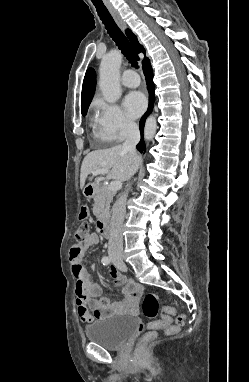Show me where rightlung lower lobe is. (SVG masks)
<instances>
[{
  "instance_id": "right-lung-lower-lobe-1",
  "label": "right lung lower lobe",
  "mask_w": 249,
  "mask_h": 382,
  "mask_svg": "<svg viewBox=\"0 0 249 382\" xmlns=\"http://www.w3.org/2000/svg\"><path fill=\"white\" fill-rule=\"evenodd\" d=\"M143 71L144 75L146 77L147 81V89L149 91V107L147 112L142 116L140 123H139V128L141 132V141L137 145V149L142 153L145 148V143L143 140V131H144V124L147 116L153 109V104L155 102V95H154V85H153V73H152V68L149 59L147 58L146 60L143 61Z\"/></svg>"
}]
</instances>
